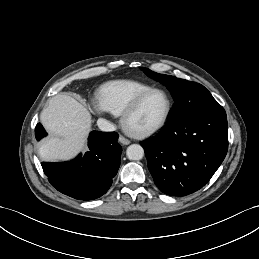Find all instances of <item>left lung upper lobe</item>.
I'll list each match as a JSON object with an SVG mask.
<instances>
[{"mask_svg": "<svg viewBox=\"0 0 259 259\" xmlns=\"http://www.w3.org/2000/svg\"><path fill=\"white\" fill-rule=\"evenodd\" d=\"M141 69L152 79L165 84L172 92L175 99V105L168 123L220 106L210 92L201 84L179 79L170 75L159 74L144 67Z\"/></svg>", "mask_w": 259, "mask_h": 259, "instance_id": "5c2ea615", "label": "left lung upper lobe"}]
</instances>
